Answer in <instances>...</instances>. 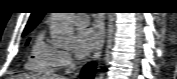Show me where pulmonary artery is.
<instances>
[{"instance_id":"pulmonary-artery-1","label":"pulmonary artery","mask_w":177,"mask_h":79,"mask_svg":"<svg viewBox=\"0 0 177 79\" xmlns=\"http://www.w3.org/2000/svg\"><path fill=\"white\" fill-rule=\"evenodd\" d=\"M72 23L79 26H86L89 23L88 15L86 14H76L72 17Z\"/></svg>"}]
</instances>
